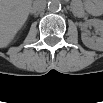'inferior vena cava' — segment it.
Returning <instances> with one entry per match:
<instances>
[{
    "label": "inferior vena cava",
    "instance_id": "obj_1",
    "mask_svg": "<svg viewBox=\"0 0 103 103\" xmlns=\"http://www.w3.org/2000/svg\"><path fill=\"white\" fill-rule=\"evenodd\" d=\"M46 7V2L44 0H36L33 3L32 10L34 12H42Z\"/></svg>",
    "mask_w": 103,
    "mask_h": 103
}]
</instances>
